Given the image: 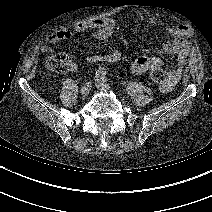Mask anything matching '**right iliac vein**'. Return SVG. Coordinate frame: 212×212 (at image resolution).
Here are the masks:
<instances>
[{"label":"right iliac vein","mask_w":212,"mask_h":212,"mask_svg":"<svg viewBox=\"0 0 212 212\" xmlns=\"http://www.w3.org/2000/svg\"><path fill=\"white\" fill-rule=\"evenodd\" d=\"M91 87H92V83L91 82H87L86 84H84L81 89H80V93L82 95H87L90 90H91Z\"/></svg>","instance_id":"right-iliac-vein-1"}]
</instances>
